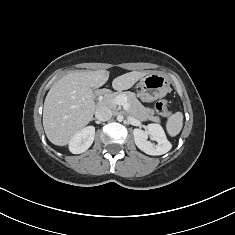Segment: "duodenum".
<instances>
[{
	"label": "duodenum",
	"instance_id": "1",
	"mask_svg": "<svg viewBox=\"0 0 235 235\" xmlns=\"http://www.w3.org/2000/svg\"><path fill=\"white\" fill-rule=\"evenodd\" d=\"M106 92H107L106 90H101V91L99 92V96L106 94Z\"/></svg>",
	"mask_w": 235,
	"mask_h": 235
}]
</instances>
